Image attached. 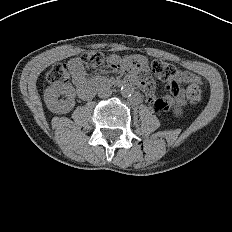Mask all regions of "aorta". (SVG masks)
Here are the masks:
<instances>
[{
    "mask_svg": "<svg viewBox=\"0 0 232 232\" xmlns=\"http://www.w3.org/2000/svg\"><path fill=\"white\" fill-rule=\"evenodd\" d=\"M120 93L123 97H130L134 93V88L130 84H125L121 87Z\"/></svg>",
    "mask_w": 232,
    "mask_h": 232,
    "instance_id": "1",
    "label": "aorta"
}]
</instances>
